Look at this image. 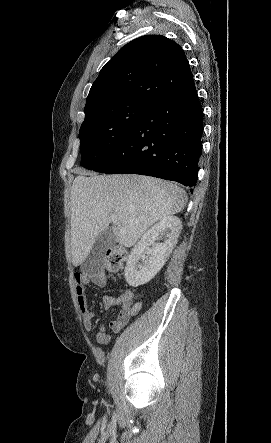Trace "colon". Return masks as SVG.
<instances>
[{
	"label": "colon",
	"mask_w": 271,
	"mask_h": 443,
	"mask_svg": "<svg viewBox=\"0 0 271 443\" xmlns=\"http://www.w3.org/2000/svg\"><path fill=\"white\" fill-rule=\"evenodd\" d=\"M127 252L121 246L111 247L105 254V268L110 273H116L121 268L126 259Z\"/></svg>",
	"instance_id": "colon-1"
}]
</instances>
